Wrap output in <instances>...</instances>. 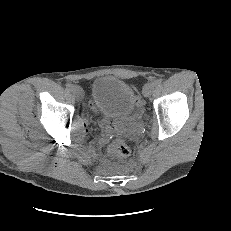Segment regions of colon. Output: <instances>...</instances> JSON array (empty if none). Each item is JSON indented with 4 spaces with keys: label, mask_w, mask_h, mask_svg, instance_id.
I'll use <instances>...</instances> for the list:
<instances>
[{
    "label": "colon",
    "mask_w": 231,
    "mask_h": 231,
    "mask_svg": "<svg viewBox=\"0 0 231 231\" xmlns=\"http://www.w3.org/2000/svg\"><path fill=\"white\" fill-rule=\"evenodd\" d=\"M108 152L117 157H125L129 155L130 148L123 139L117 138L108 146Z\"/></svg>",
    "instance_id": "obj_1"
}]
</instances>
